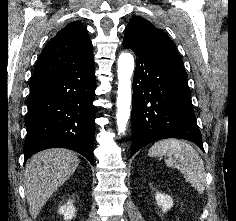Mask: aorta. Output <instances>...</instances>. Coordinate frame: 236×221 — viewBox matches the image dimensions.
Instances as JSON below:
<instances>
[{
    "mask_svg": "<svg viewBox=\"0 0 236 221\" xmlns=\"http://www.w3.org/2000/svg\"><path fill=\"white\" fill-rule=\"evenodd\" d=\"M134 70V58L128 52L121 53L118 58V97L116 122L118 134H124L130 118L131 77Z\"/></svg>",
    "mask_w": 236,
    "mask_h": 221,
    "instance_id": "obj_1",
    "label": "aorta"
}]
</instances>
